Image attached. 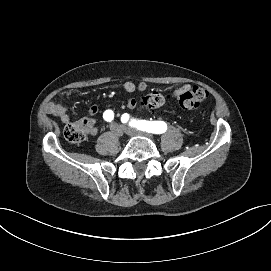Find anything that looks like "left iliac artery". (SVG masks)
Listing matches in <instances>:
<instances>
[{
  "label": "left iliac artery",
  "mask_w": 271,
  "mask_h": 271,
  "mask_svg": "<svg viewBox=\"0 0 271 271\" xmlns=\"http://www.w3.org/2000/svg\"><path fill=\"white\" fill-rule=\"evenodd\" d=\"M129 114L125 113L121 117L122 123H127ZM131 127H136L138 130L150 132L153 134H162L167 130V124L163 121H146V120H133L129 123Z\"/></svg>",
  "instance_id": "obj_1"
}]
</instances>
